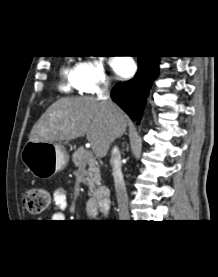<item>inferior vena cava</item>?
<instances>
[{"label": "inferior vena cava", "instance_id": "1", "mask_svg": "<svg viewBox=\"0 0 218 277\" xmlns=\"http://www.w3.org/2000/svg\"><path fill=\"white\" fill-rule=\"evenodd\" d=\"M98 100L107 103V105L116 112L118 107L110 100L109 85L103 82L98 93ZM112 175L114 178L115 191L118 202L119 218L121 220L129 219L128 196L126 191L123 174L121 171V155L119 149L115 146L111 151Z\"/></svg>", "mask_w": 218, "mask_h": 277}]
</instances>
